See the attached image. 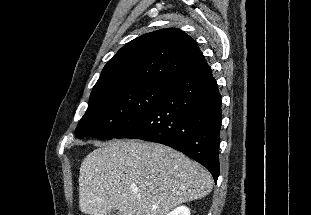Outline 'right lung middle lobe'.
I'll use <instances>...</instances> for the list:
<instances>
[{"mask_svg": "<svg viewBox=\"0 0 311 215\" xmlns=\"http://www.w3.org/2000/svg\"><path fill=\"white\" fill-rule=\"evenodd\" d=\"M167 87L163 83L129 84L91 94L87 111L77 125L76 137L115 138L148 114Z\"/></svg>", "mask_w": 311, "mask_h": 215, "instance_id": "right-lung-middle-lobe-1", "label": "right lung middle lobe"}]
</instances>
